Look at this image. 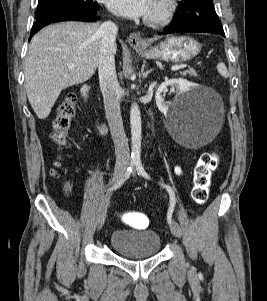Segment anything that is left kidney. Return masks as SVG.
Returning a JSON list of instances; mask_svg holds the SVG:
<instances>
[{"mask_svg": "<svg viewBox=\"0 0 267 301\" xmlns=\"http://www.w3.org/2000/svg\"><path fill=\"white\" fill-rule=\"evenodd\" d=\"M168 86H175L179 90V94H184L191 89L197 87V85H194L184 79H170L166 80L164 83H162L155 94L156 104L161 112L166 113L168 111V108L170 106V103L164 100L163 92L166 90Z\"/></svg>", "mask_w": 267, "mask_h": 301, "instance_id": "obj_1", "label": "left kidney"}]
</instances>
